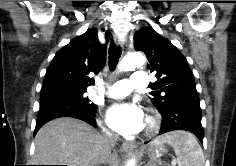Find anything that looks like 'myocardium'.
I'll use <instances>...</instances> for the list:
<instances>
[{"mask_svg": "<svg viewBox=\"0 0 236 166\" xmlns=\"http://www.w3.org/2000/svg\"><path fill=\"white\" fill-rule=\"evenodd\" d=\"M160 126V117L154 110H150L147 116V125L145 129V134L151 136L155 134Z\"/></svg>", "mask_w": 236, "mask_h": 166, "instance_id": "myocardium-1", "label": "myocardium"}]
</instances>
